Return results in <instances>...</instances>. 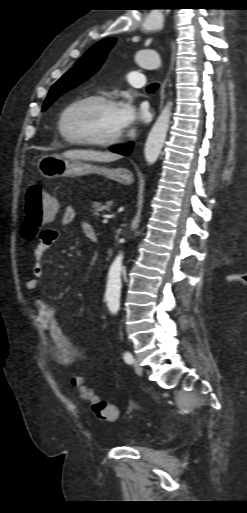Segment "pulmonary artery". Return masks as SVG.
Masks as SVG:
<instances>
[{
	"instance_id": "1",
	"label": "pulmonary artery",
	"mask_w": 247,
	"mask_h": 513,
	"mask_svg": "<svg viewBox=\"0 0 247 513\" xmlns=\"http://www.w3.org/2000/svg\"><path fill=\"white\" fill-rule=\"evenodd\" d=\"M127 79H128V82L136 87V88H141L145 85V77L144 75L139 72V71H130L128 74H127Z\"/></svg>"
}]
</instances>
